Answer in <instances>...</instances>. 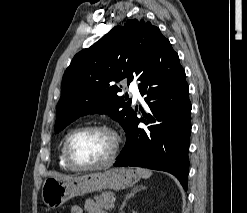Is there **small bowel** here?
<instances>
[{"label": "small bowel", "mask_w": 247, "mask_h": 213, "mask_svg": "<svg viewBox=\"0 0 247 213\" xmlns=\"http://www.w3.org/2000/svg\"><path fill=\"white\" fill-rule=\"evenodd\" d=\"M85 210H86L87 213H106L93 200L86 201ZM70 213H84V212H83V209L80 206L74 205V206L71 207Z\"/></svg>", "instance_id": "obj_1"}]
</instances>
